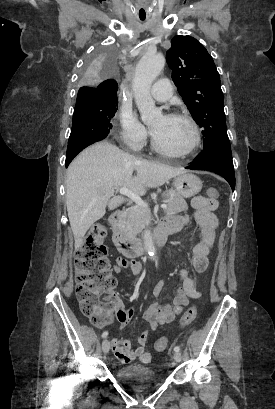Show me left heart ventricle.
Masks as SVG:
<instances>
[{
  "label": "left heart ventricle",
  "mask_w": 275,
  "mask_h": 409,
  "mask_svg": "<svg viewBox=\"0 0 275 409\" xmlns=\"http://www.w3.org/2000/svg\"><path fill=\"white\" fill-rule=\"evenodd\" d=\"M149 125L156 140L170 150H183L192 140V130L185 121L159 115Z\"/></svg>",
  "instance_id": "left-heart-ventricle-1"
}]
</instances>
